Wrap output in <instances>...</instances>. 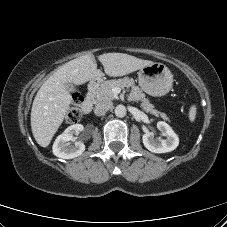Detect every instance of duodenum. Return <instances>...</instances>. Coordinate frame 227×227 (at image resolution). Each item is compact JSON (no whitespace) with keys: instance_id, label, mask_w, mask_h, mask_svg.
Here are the masks:
<instances>
[{"instance_id":"duodenum-1","label":"duodenum","mask_w":227,"mask_h":227,"mask_svg":"<svg viewBox=\"0 0 227 227\" xmlns=\"http://www.w3.org/2000/svg\"><path fill=\"white\" fill-rule=\"evenodd\" d=\"M102 81L101 77L94 78L88 85L87 95L82 105V111L84 114H89L92 111L94 103V94L98 86Z\"/></svg>"}]
</instances>
